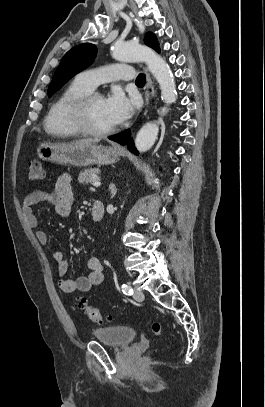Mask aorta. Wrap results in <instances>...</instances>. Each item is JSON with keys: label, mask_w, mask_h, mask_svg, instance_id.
Segmentation results:
<instances>
[{"label": "aorta", "mask_w": 265, "mask_h": 407, "mask_svg": "<svg viewBox=\"0 0 265 407\" xmlns=\"http://www.w3.org/2000/svg\"><path fill=\"white\" fill-rule=\"evenodd\" d=\"M112 56L118 61L145 62L149 71L159 83L161 99L170 105L177 99L176 84L170 66L155 51L134 42L115 43ZM167 108H163L164 115ZM159 133V126L155 122L145 124L138 132L135 146L140 152L149 150L155 143Z\"/></svg>", "instance_id": "obj_1"}]
</instances>
